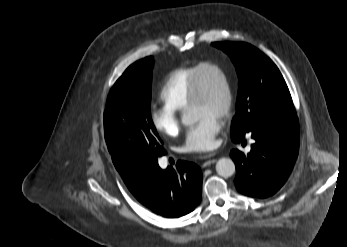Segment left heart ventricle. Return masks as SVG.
<instances>
[{"instance_id":"1","label":"left heart ventricle","mask_w":347,"mask_h":247,"mask_svg":"<svg viewBox=\"0 0 347 247\" xmlns=\"http://www.w3.org/2000/svg\"><path fill=\"white\" fill-rule=\"evenodd\" d=\"M202 83V100L189 107V111L198 120L206 115L221 117L226 99L223 79L216 71L206 70L202 76Z\"/></svg>"}]
</instances>
